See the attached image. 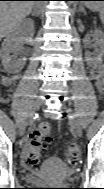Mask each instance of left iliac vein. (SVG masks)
<instances>
[{
  "label": "left iliac vein",
  "mask_w": 104,
  "mask_h": 189,
  "mask_svg": "<svg viewBox=\"0 0 104 189\" xmlns=\"http://www.w3.org/2000/svg\"><path fill=\"white\" fill-rule=\"evenodd\" d=\"M66 112L68 113L72 127L75 129L77 135L81 136L82 128H81L80 121L78 120L75 113L71 109L66 108Z\"/></svg>",
  "instance_id": "1"
}]
</instances>
